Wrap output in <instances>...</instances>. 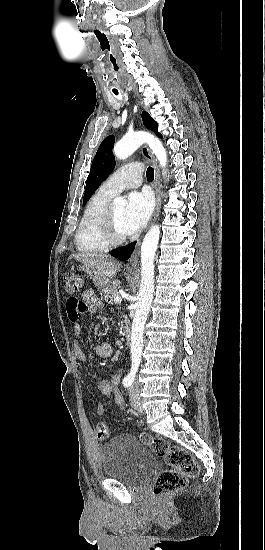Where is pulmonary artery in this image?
Returning <instances> with one entry per match:
<instances>
[{
    "mask_svg": "<svg viewBox=\"0 0 265 550\" xmlns=\"http://www.w3.org/2000/svg\"><path fill=\"white\" fill-rule=\"evenodd\" d=\"M142 183V165L131 162L117 169L101 185V188L115 196L125 189L136 188Z\"/></svg>",
    "mask_w": 265,
    "mask_h": 550,
    "instance_id": "1",
    "label": "pulmonary artery"
}]
</instances>
